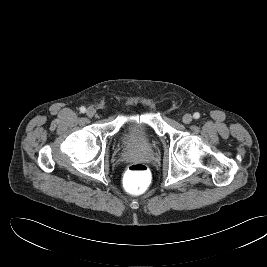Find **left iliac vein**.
<instances>
[{"mask_svg":"<svg viewBox=\"0 0 267 267\" xmlns=\"http://www.w3.org/2000/svg\"><path fill=\"white\" fill-rule=\"evenodd\" d=\"M193 117L191 114H185L182 118V121L185 123V124H189L191 123Z\"/></svg>","mask_w":267,"mask_h":267,"instance_id":"left-iliac-vein-1","label":"left iliac vein"}]
</instances>
